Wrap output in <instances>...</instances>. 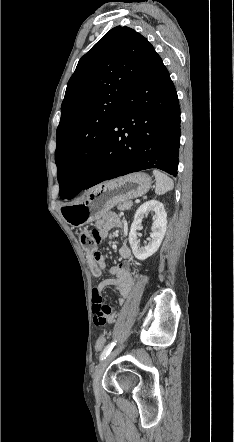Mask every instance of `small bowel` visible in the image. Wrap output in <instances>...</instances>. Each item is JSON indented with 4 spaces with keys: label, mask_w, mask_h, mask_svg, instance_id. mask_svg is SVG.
<instances>
[{
    "label": "small bowel",
    "mask_w": 234,
    "mask_h": 442,
    "mask_svg": "<svg viewBox=\"0 0 234 442\" xmlns=\"http://www.w3.org/2000/svg\"><path fill=\"white\" fill-rule=\"evenodd\" d=\"M123 227H124L123 219L115 213H109L96 222V230L98 232L100 240L105 239L112 228H123ZM119 255L124 261L109 268V272L111 275H113V278L106 279L100 282L96 286L94 291L101 293L106 288L113 287L117 290L120 296V302H123L124 299L130 293L134 285L135 278H134V272L127 262V260L131 256V250L126 243H123L120 246ZM89 260L91 266L93 264H97L100 267V269L106 268L105 259L101 254H98L97 256H93L90 254ZM115 318H116V313L114 311V308L108 306V311L105 314H93L92 321L94 323L95 328H106L107 323L109 324L113 323L115 321ZM103 346H104V340H103Z\"/></svg>",
    "instance_id": "obj_1"
}]
</instances>
